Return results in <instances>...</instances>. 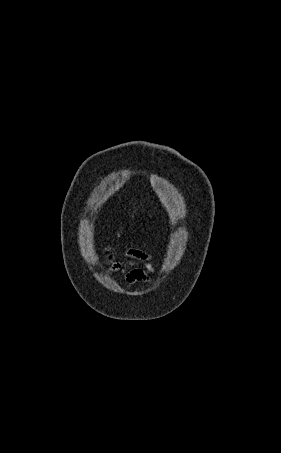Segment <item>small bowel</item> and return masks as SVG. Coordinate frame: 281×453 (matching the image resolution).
Returning a JSON list of instances; mask_svg holds the SVG:
<instances>
[{
    "label": "small bowel",
    "instance_id": "obj_1",
    "mask_svg": "<svg viewBox=\"0 0 281 453\" xmlns=\"http://www.w3.org/2000/svg\"><path fill=\"white\" fill-rule=\"evenodd\" d=\"M154 268L151 256L138 250L125 249L109 256L108 273H121L128 283L147 282Z\"/></svg>",
    "mask_w": 281,
    "mask_h": 453
}]
</instances>
